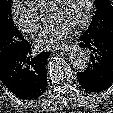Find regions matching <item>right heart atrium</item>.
Returning a JSON list of instances; mask_svg holds the SVG:
<instances>
[{"instance_id":"1","label":"right heart atrium","mask_w":113,"mask_h":113,"mask_svg":"<svg viewBox=\"0 0 113 113\" xmlns=\"http://www.w3.org/2000/svg\"><path fill=\"white\" fill-rule=\"evenodd\" d=\"M11 16L16 27L25 34H32L39 28L40 15L28 1L13 0Z\"/></svg>"}]
</instances>
